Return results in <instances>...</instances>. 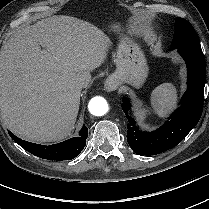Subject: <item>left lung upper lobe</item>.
Here are the masks:
<instances>
[{
	"label": "left lung upper lobe",
	"instance_id": "left-lung-upper-lobe-1",
	"mask_svg": "<svg viewBox=\"0 0 209 209\" xmlns=\"http://www.w3.org/2000/svg\"><path fill=\"white\" fill-rule=\"evenodd\" d=\"M200 44L193 26L182 18H177L175 33L171 44L172 48H179L186 45Z\"/></svg>",
	"mask_w": 209,
	"mask_h": 209
}]
</instances>
